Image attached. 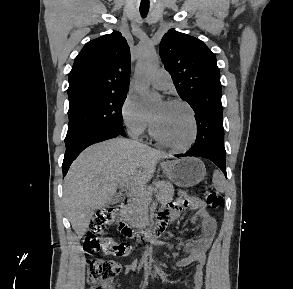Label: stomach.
Returning <instances> with one entry per match:
<instances>
[{
	"mask_svg": "<svg viewBox=\"0 0 293 289\" xmlns=\"http://www.w3.org/2000/svg\"><path fill=\"white\" fill-rule=\"evenodd\" d=\"M167 177L180 187H191L200 183L205 175L204 163L195 157L180 158L161 164Z\"/></svg>",
	"mask_w": 293,
	"mask_h": 289,
	"instance_id": "obj_1",
	"label": "stomach"
}]
</instances>
